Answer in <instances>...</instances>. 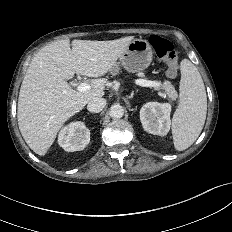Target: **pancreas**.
Listing matches in <instances>:
<instances>
[{"instance_id":"cf45deb5","label":"pancreas","mask_w":232,"mask_h":232,"mask_svg":"<svg viewBox=\"0 0 232 232\" xmlns=\"http://www.w3.org/2000/svg\"><path fill=\"white\" fill-rule=\"evenodd\" d=\"M160 87L165 90V93L170 100L175 101L177 99L178 97L177 91L169 81H165L164 83L161 84Z\"/></svg>"}]
</instances>
